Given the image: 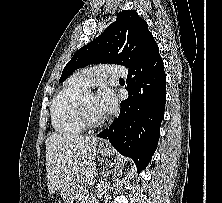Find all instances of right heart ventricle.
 I'll use <instances>...</instances> for the list:
<instances>
[{"instance_id":"1","label":"right heart ventricle","mask_w":222,"mask_h":203,"mask_svg":"<svg viewBox=\"0 0 222 203\" xmlns=\"http://www.w3.org/2000/svg\"><path fill=\"white\" fill-rule=\"evenodd\" d=\"M86 88L73 78L69 79L57 96L51 107V121L54 129L64 135H77L84 131L78 103Z\"/></svg>"}]
</instances>
